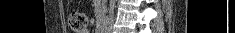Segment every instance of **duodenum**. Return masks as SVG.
Masks as SVG:
<instances>
[{
	"mask_svg": "<svg viewBox=\"0 0 235 33\" xmlns=\"http://www.w3.org/2000/svg\"><path fill=\"white\" fill-rule=\"evenodd\" d=\"M100 28H101V32L104 33L105 29H106V23L102 22L101 25H100Z\"/></svg>",
	"mask_w": 235,
	"mask_h": 33,
	"instance_id": "410a0bca",
	"label": "duodenum"
}]
</instances>
